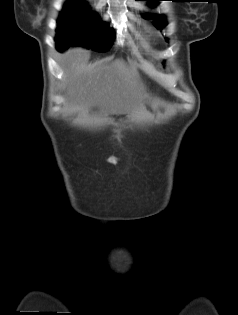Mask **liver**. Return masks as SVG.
Instances as JSON below:
<instances>
[{
  "instance_id": "obj_1",
  "label": "liver",
  "mask_w": 238,
  "mask_h": 315,
  "mask_svg": "<svg viewBox=\"0 0 238 315\" xmlns=\"http://www.w3.org/2000/svg\"><path fill=\"white\" fill-rule=\"evenodd\" d=\"M90 53L68 50L60 61L63 79L59 84L65 105L97 107L104 115H122L138 109L144 99L136 72L122 59L89 64Z\"/></svg>"
}]
</instances>
